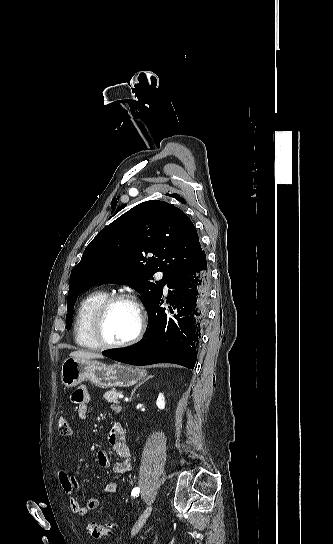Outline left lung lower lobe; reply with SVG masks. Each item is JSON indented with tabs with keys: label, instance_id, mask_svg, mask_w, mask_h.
Masks as SVG:
<instances>
[{
	"label": "left lung lower lobe",
	"instance_id": "left-lung-lower-lobe-1",
	"mask_svg": "<svg viewBox=\"0 0 333 544\" xmlns=\"http://www.w3.org/2000/svg\"><path fill=\"white\" fill-rule=\"evenodd\" d=\"M210 271L203 250L168 284L167 308L161 298L148 308L150 324L145 336L125 349L102 354L128 364L169 362L194 368L201 328L209 297Z\"/></svg>",
	"mask_w": 333,
	"mask_h": 544
}]
</instances>
